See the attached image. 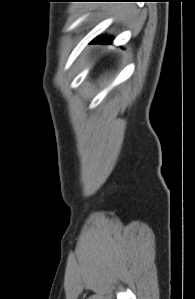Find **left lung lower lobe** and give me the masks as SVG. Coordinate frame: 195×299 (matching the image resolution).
I'll return each mask as SVG.
<instances>
[{"label": "left lung lower lobe", "instance_id": "obj_1", "mask_svg": "<svg viewBox=\"0 0 195 299\" xmlns=\"http://www.w3.org/2000/svg\"><path fill=\"white\" fill-rule=\"evenodd\" d=\"M112 39L107 37H98L92 41V43H111Z\"/></svg>", "mask_w": 195, "mask_h": 299}]
</instances>
